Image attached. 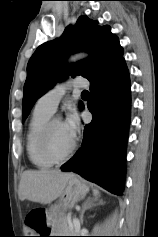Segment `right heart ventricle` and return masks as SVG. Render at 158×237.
<instances>
[{
  "instance_id": "1",
  "label": "right heart ventricle",
  "mask_w": 158,
  "mask_h": 237,
  "mask_svg": "<svg viewBox=\"0 0 158 237\" xmlns=\"http://www.w3.org/2000/svg\"><path fill=\"white\" fill-rule=\"evenodd\" d=\"M52 113L39 108L37 105L28 126L26 134V151L30 162L37 168L46 169L53 165L44 158L39 150V136L44 125L50 120Z\"/></svg>"
}]
</instances>
